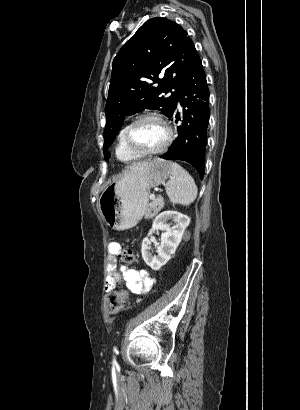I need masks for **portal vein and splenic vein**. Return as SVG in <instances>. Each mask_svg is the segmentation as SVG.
I'll return each mask as SVG.
<instances>
[{
    "mask_svg": "<svg viewBox=\"0 0 300 410\" xmlns=\"http://www.w3.org/2000/svg\"><path fill=\"white\" fill-rule=\"evenodd\" d=\"M150 199L155 200V195H154V194H151V195H150Z\"/></svg>",
    "mask_w": 300,
    "mask_h": 410,
    "instance_id": "1",
    "label": "portal vein and splenic vein"
}]
</instances>
